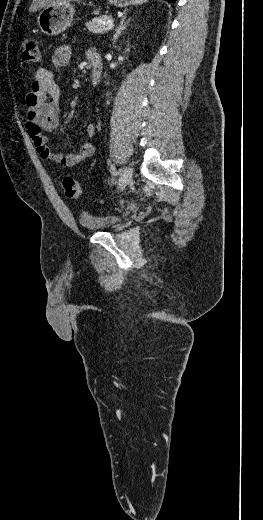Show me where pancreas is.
<instances>
[{
    "instance_id": "cf45deb5",
    "label": "pancreas",
    "mask_w": 263,
    "mask_h": 520,
    "mask_svg": "<svg viewBox=\"0 0 263 520\" xmlns=\"http://www.w3.org/2000/svg\"><path fill=\"white\" fill-rule=\"evenodd\" d=\"M109 20H112L110 15H101L88 21L85 25L92 33H104L107 24H104L103 22Z\"/></svg>"
}]
</instances>
